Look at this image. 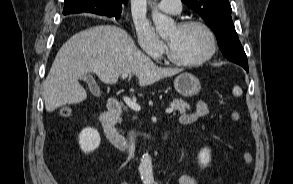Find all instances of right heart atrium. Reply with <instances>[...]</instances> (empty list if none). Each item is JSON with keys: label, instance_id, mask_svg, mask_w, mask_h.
Instances as JSON below:
<instances>
[{"label": "right heart atrium", "instance_id": "right-heart-atrium-1", "mask_svg": "<svg viewBox=\"0 0 293 184\" xmlns=\"http://www.w3.org/2000/svg\"><path fill=\"white\" fill-rule=\"evenodd\" d=\"M136 36L140 48L150 57L157 59L164 53V44L146 23H136Z\"/></svg>", "mask_w": 293, "mask_h": 184}]
</instances>
